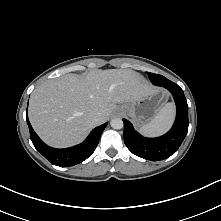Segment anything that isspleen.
I'll list each match as a JSON object with an SVG mask.
<instances>
[{
  "label": "spleen",
  "mask_w": 221,
  "mask_h": 221,
  "mask_svg": "<svg viewBox=\"0 0 221 221\" xmlns=\"http://www.w3.org/2000/svg\"><path fill=\"white\" fill-rule=\"evenodd\" d=\"M173 117L174 105L173 103H167L149 123L140 128V132L146 136L160 135L169 129Z\"/></svg>",
  "instance_id": "3e777b00"
}]
</instances>
